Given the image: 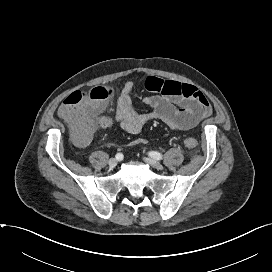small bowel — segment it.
Returning a JSON list of instances; mask_svg holds the SVG:
<instances>
[{
  "label": "small bowel",
  "mask_w": 272,
  "mask_h": 272,
  "mask_svg": "<svg viewBox=\"0 0 272 272\" xmlns=\"http://www.w3.org/2000/svg\"><path fill=\"white\" fill-rule=\"evenodd\" d=\"M144 85L155 93L143 99L149 111L139 112L135 109L131 95L135 82L128 80L118 98L115 115L100 118L99 124L107 128L116 123L127 133L137 134L147 122L159 120L174 131H187L213 113L205 94L191 84L148 76ZM143 142V139H138L133 145Z\"/></svg>",
  "instance_id": "small-bowel-1"
}]
</instances>
